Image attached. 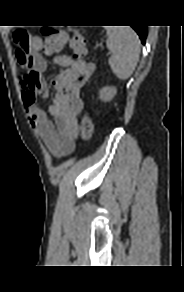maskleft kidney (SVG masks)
Listing matches in <instances>:
<instances>
[{
    "label": "left kidney",
    "mask_w": 184,
    "mask_h": 292,
    "mask_svg": "<svg viewBox=\"0 0 184 292\" xmlns=\"http://www.w3.org/2000/svg\"><path fill=\"white\" fill-rule=\"evenodd\" d=\"M117 93V89L113 86L103 87L99 91V98L104 102L111 101Z\"/></svg>",
    "instance_id": "left-kidney-1"
}]
</instances>
